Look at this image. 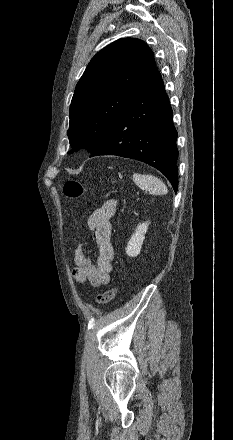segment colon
<instances>
[{"mask_svg":"<svg viewBox=\"0 0 233 440\" xmlns=\"http://www.w3.org/2000/svg\"><path fill=\"white\" fill-rule=\"evenodd\" d=\"M61 189L66 197L75 199L81 197L86 192V185L81 181L70 179L61 184ZM117 292L118 288L115 286L99 294L96 298L97 305L107 304L115 298Z\"/></svg>","mask_w":233,"mask_h":440,"instance_id":"colon-1","label":"colon"}]
</instances>
